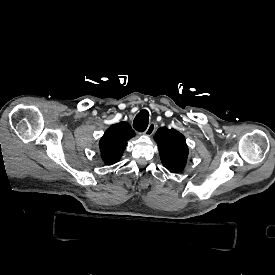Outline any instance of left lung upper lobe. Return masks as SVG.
I'll use <instances>...</instances> for the list:
<instances>
[{
	"mask_svg": "<svg viewBox=\"0 0 275 275\" xmlns=\"http://www.w3.org/2000/svg\"><path fill=\"white\" fill-rule=\"evenodd\" d=\"M154 139L164 167L172 173L181 172L189 153L184 135L173 128L162 127L157 130Z\"/></svg>",
	"mask_w": 275,
	"mask_h": 275,
	"instance_id": "obj_1",
	"label": "left lung upper lobe"
}]
</instances>
